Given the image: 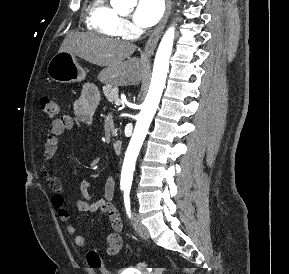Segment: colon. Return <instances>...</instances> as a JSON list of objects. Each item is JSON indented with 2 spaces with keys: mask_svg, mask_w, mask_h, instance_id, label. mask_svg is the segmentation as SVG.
<instances>
[{
  "mask_svg": "<svg viewBox=\"0 0 289 274\" xmlns=\"http://www.w3.org/2000/svg\"><path fill=\"white\" fill-rule=\"evenodd\" d=\"M40 108L42 111L50 118H54L59 115L61 106L60 103L52 98L49 97H42L40 99ZM87 262L89 266L96 270H102L103 274H110L108 271L105 270L103 260L98 254V252L92 250L87 253ZM145 265L141 264L138 268H134L131 270H127V272H137L143 270ZM193 269L188 268L184 271L185 274H192Z\"/></svg>",
  "mask_w": 289,
  "mask_h": 274,
  "instance_id": "obj_1",
  "label": "colon"
}]
</instances>
